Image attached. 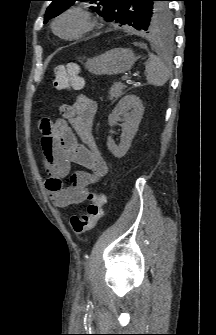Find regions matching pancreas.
Returning a JSON list of instances; mask_svg holds the SVG:
<instances>
[{"mask_svg": "<svg viewBox=\"0 0 216 335\" xmlns=\"http://www.w3.org/2000/svg\"><path fill=\"white\" fill-rule=\"evenodd\" d=\"M126 88V85H124L121 82H116L114 85L110 88L109 91V99L112 102H115L119 97H121L124 94V89Z\"/></svg>", "mask_w": 216, "mask_h": 335, "instance_id": "obj_1", "label": "pancreas"}]
</instances>
